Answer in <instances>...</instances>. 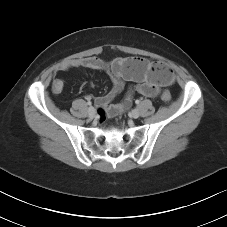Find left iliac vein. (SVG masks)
I'll list each match as a JSON object with an SVG mask.
<instances>
[{"instance_id":"left-iliac-vein-1","label":"left iliac vein","mask_w":227,"mask_h":227,"mask_svg":"<svg viewBox=\"0 0 227 227\" xmlns=\"http://www.w3.org/2000/svg\"><path fill=\"white\" fill-rule=\"evenodd\" d=\"M131 117L134 119H137L140 116L139 110L138 109H133L130 113Z\"/></svg>"}]
</instances>
